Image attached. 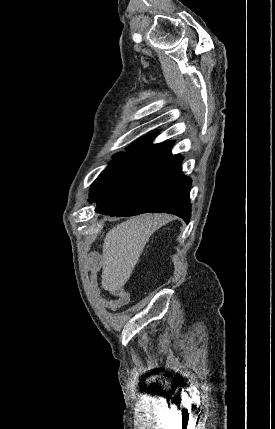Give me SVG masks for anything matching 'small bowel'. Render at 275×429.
<instances>
[{
  "label": "small bowel",
  "mask_w": 275,
  "mask_h": 429,
  "mask_svg": "<svg viewBox=\"0 0 275 429\" xmlns=\"http://www.w3.org/2000/svg\"><path fill=\"white\" fill-rule=\"evenodd\" d=\"M94 291L99 302L110 310L120 309L130 302V293L121 288L108 289V291L113 295V298L103 297L98 287H95Z\"/></svg>",
  "instance_id": "small-bowel-1"
}]
</instances>
